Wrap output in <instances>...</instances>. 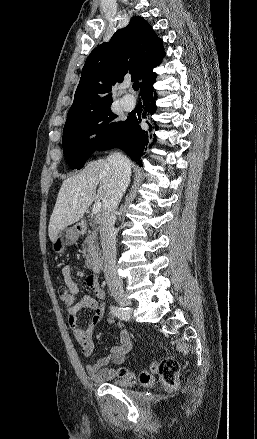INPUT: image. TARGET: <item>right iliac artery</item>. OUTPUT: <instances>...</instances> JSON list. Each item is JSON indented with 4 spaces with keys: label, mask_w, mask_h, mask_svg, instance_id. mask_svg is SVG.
<instances>
[{
    "label": "right iliac artery",
    "mask_w": 257,
    "mask_h": 439,
    "mask_svg": "<svg viewBox=\"0 0 257 439\" xmlns=\"http://www.w3.org/2000/svg\"><path fill=\"white\" fill-rule=\"evenodd\" d=\"M110 309H111V312L119 319L126 320V321L130 319V314L126 308L111 306Z\"/></svg>",
    "instance_id": "obj_1"
}]
</instances>
